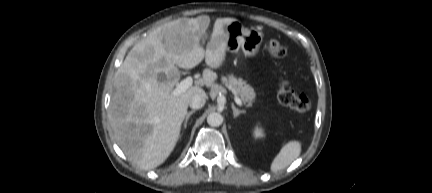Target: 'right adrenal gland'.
<instances>
[{
	"label": "right adrenal gland",
	"mask_w": 432,
	"mask_h": 193,
	"mask_svg": "<svg viewBox=\"0 0 432 193\" xmlns=\"http://www.w3.org/2000/svg\"><path fill=\"white\" fill-rule=\"evenodd\" d=\"M193 113H195V110H191L190 112H188V113L186 114V117H185L184 122H183V128H184V129H185L186 126H187L188 119L190 118V116H191Z\"/></svg>",
	"instance_id": "obj_1"
}]
</instances>
